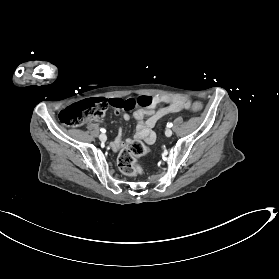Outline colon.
Listing matches in <instances>:
<instances>
[{
  "label": "colon",
  "mask_w": 279,
  "mask_h": 279,
  "mask_svg": "<svg viewBox=\"0 0 279 279\" xmlns=\"http://www.w3.org/2000/svg\"><path fill=\"white\" fill-rule=\"evenodd\" d=\"M155 105L154 97L139 96L137 98H95L84 100L66 107L59 114L62 123L68 126H80L84 122L102 117L109 107L114 109L132 110L137 106L149 108ZM203 109L200 102L191 105L193 112L199 113ZM147 152L146 146L141 141L131 142L119 155L118 165L126 175H137L142 173V167L137 163V158Z\"/></svg>",
  "instance_id": "5ec220e1"
}]
</instances>
